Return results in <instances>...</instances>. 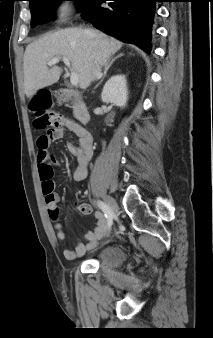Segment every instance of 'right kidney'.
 <instances>
[{
  "label": "right kidney",
  "mask_w": 213,
  "mask_h": 338,
  "mask_svg": "<svg viewBox=\"0 0 213 338\" xmlns=\"http://www.w3.org/2000/svg\"><path fill=\"white\" fill-rule=\"evenodd\" d=\"M101 99L124 108L128 100L127 81L124 75H114L105 83Z\"/></svg>",
  "instance_id": "obj_1"
}]
</instances>
